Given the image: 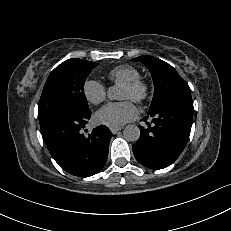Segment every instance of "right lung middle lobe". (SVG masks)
<instances>
[{"instance_id":"right-lung-middle-lobe-1","label":"right lung middle lobe","mask_w":231,"mask_h":231,"mask_svg":"<svg viewBox=\"0 0 231 231\" xmlns=\"http://www.w3.org/2000/svg\"><path fill=\"white\" fill-rule=\"evenodd\" d=\"M97 63L72 58L57 66L49 75L38 106L39 122L62 112L90 111L84 83Z\"/></svg>"}]
</instances>
